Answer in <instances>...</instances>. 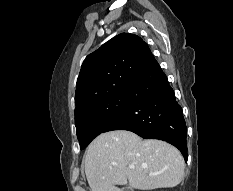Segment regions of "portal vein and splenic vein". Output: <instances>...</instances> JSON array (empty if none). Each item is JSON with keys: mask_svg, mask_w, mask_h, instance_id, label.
<instances>
[{"mask_svg": "<svg viewBox=\"0 0 233 191\" xmlns=\"http://www.w3.org/2000/svg\"><path fill=\"white\" fill-rule=\"evenodd\" d=\"M129 168H130L131 170H133V169H134V166H133V165H130Z\"/></svg>", "mask_w": 233, "mask_h": 191, "instance_id": "1", "label": "portal vein and splenic vein"}]
</instances>
